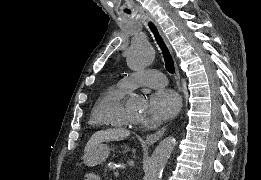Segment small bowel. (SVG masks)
<instances>
[{
    "instance_id": "c3829d8e",
    "label": "small bowel",
    "mask_w": 261,
    "mask_h": 180,
    "mask_svg": "<svg viewBox=\"0 0 261 180\" xmlns=\"http://www.w3.org/2000/svg\"><path fill=\"white\" fill-rule=\"evenodd\" d=\"M85 178L86 180H97L98 176L93 172H89L86 174Z\"/></svg>"
}]
</instances>
